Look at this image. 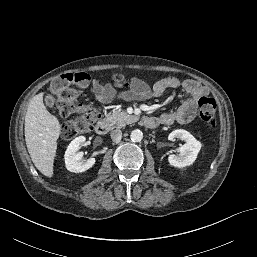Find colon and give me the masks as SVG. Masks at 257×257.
Listing matches in <instances>:
<instances>
[{
	"instance_id": "colon-1",
	"label": "colon",
	"mask_w": 257,
	"mask_h": 257,
	"mask_svg": "<svg viewBox=\"0 0 257 257\" xmlns=\"http://www.w3.org/2000/svg\"><path fill=\"white\" fill-rule=\"evenodd\" d=\"M117 86L126 84V78L121 74L112 77ZM90 84V76L85 72L65 73L58 76L52 83V93L57 97V107L63 117H71L61 129L64 139L70 140L80 134L89 132L101 119L100 110L92 104L79 101L82 90ZM200 118L211 128L215 127L216 101L209 96H202L199 101Z\"/></svg>"
}]
</instances>
